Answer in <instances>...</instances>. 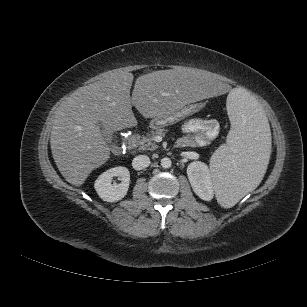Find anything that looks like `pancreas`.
<instances>
[{
  "label": "pancreas",
  "instance_id": "pancreas-1",
  "mask_svg": "<svg viewBox=\"0 0 307 307\" xmlns=\"http://www.w3.org/2000/svg\"><path fill=\"white\" fill-rule=\"evenodd\" d=\"M161 134H164V129H156L155 131H151L146 135H138L135 138V146L139 147L140 150H156L158 146L154 142V137Z\"/></svg>",
  "mask_w": 307,
  "mask_h": 307
}]
</instances>
